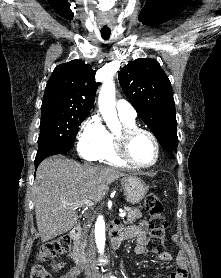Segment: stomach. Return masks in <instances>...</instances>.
<instances>
[{"mask_svg":"<svg viewBox=\"0 0 221 278\" xmlns=\"http://www.w3.org/2000/svg\"><path fill=\"white\" fill-rule=\"evenodd\" d=\"M119 181L129 203L137 204L145 197L148 188L140 178L135 176H124L120 178Z\"/></svg>","mask_w":221,"mask_h":278,"instance_id":"0dacf381","label":"stomach"}]
</instances>
